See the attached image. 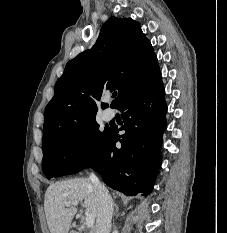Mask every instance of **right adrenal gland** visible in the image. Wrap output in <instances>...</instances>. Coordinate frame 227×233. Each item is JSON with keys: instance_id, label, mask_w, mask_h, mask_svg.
I'll use <instances>...</instances> for the list:
<instances>
[{"instance_id": "right-adrenal-gland-1", "label": "right adrenal gland", "mask_w": 227, "mask_h": 233, "mask_svg": "<svg viewBox=\"0 0 227 233\" xmlns=\"http://www.w3.org/2000/svg\"><path fill=\"white\" fill-rule=\"evenodd\" d=\"M114 207H115V212H114V216L118 215V211H119V207L117 204L114 203Z\"/></svg>"}]
</instances>
